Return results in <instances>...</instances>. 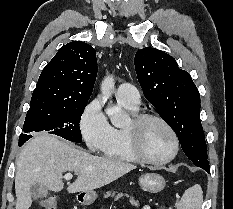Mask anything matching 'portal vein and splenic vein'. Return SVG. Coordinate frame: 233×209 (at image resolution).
I'll return each instance as SVG.
<instances>
[{"mask_svg": "<svg viewBox=\"0 0 233 209\" xmlns=\"http://www.w3.org/2000/svg\"><path fill=\"white\" fill-rule=\"evenodd\" d=\"M72 177H73V175H72V174L67 173V174H65V175H64V177H63V178H64L65 180H70Z\"/></svg>", "mask_w": 233, "mask_h": 209, "instance_id": "obj_1", "label": "portal vein and splenic vein"}]
</instances>
